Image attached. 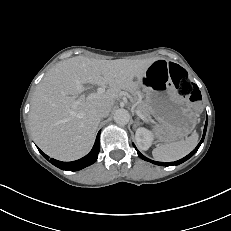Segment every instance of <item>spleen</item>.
<instances>
[{"mask_svg": "<svg viewBox=\"0 0 231 231\" xmlns=\"http://www.w3.org/2000/svg\"><path fill=\"white\" fill-rule=\"evenodd\" d=\"M198 143V134L194 131L191 136L177 142L157 146L152 155L155 160L162 162L176 161L189 154Z\"/></svg>", "mask_w": 231, "mask_h": 231, "instance_id": "obj_1", "label": "spleen"}]
</instances>
